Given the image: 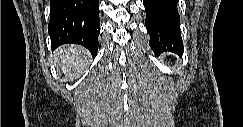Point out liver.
Returning a JSON list of instances; mask_svg holds the SVG:
<instances>
[{
  "instance_id": "liver-1",
  "label": "liver",
  "mask_w": 243,
  "mask_h": 127,
  "mask_svg": "<svg viewBox=\"0 0 243 127\" xmlns=\"http://www.w3.org/2000/svg\"><path fill=\"white\" fill-rule=\"evenodd\" d=\"M55 55L56 63L68 77H78L90 61L87 50L78 45H63Z\"/></svg>"
}]
</instances>
